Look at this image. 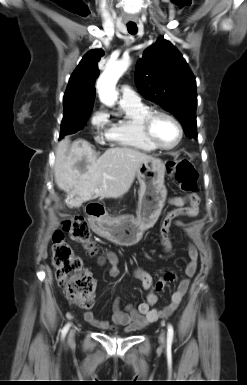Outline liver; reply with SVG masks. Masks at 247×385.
<instances>
[{
	"instance_id": "6515ba94",
	"label": "liver",
	"mask_w": 247,
	"mask_h": 385,
	"mask_svg": "<svg viewBox=\"0 0 247 385\" xmlns=\"http://www.w3.org/2000/svg\"><path fill=\"white\" fill-rule=\"evenodd\" d=\"M150 158L127 147L110 148L97 157L86 140L71 144L66 137L56 149L55 182L67 193L65 203L69 207L97 197L119 198L130 189L140 164Z\"/></svg>"
}]
</instances>
